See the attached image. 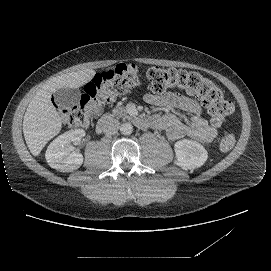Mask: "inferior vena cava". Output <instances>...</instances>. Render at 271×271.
Returning <instances> with one entry per match:
<instances>
[{
  "instance_id": "602c4592",
  "label": "inferior vena cava",
  "mask_w": 271,
  "mask_h": 271,
  "mask_svg": "<svg viewBox=\"0 0 271 271\" xmlns=\"http://www.w3.org/2000/svg\"><path fill=\"white\" fill-rule=\"evenodd\" d=\"M119 127V121L111 116L107 117L102 123V130L106 135L116 134Z\"/></svg>"
}]
</instances>
